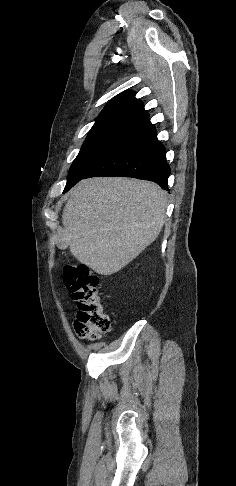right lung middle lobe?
Returning a JSON list of instances; mask_svg holds the SVG:
<instances>
[{
	"label": "right lung middle lobe",
	"mask_w": 236,
	"mask_h": 486,
	"mask_svg": "<svg viewBox=\"0 0 236 486\" xmlns=\"http://www.w3.org/2000/svg\"><path fill=\"white\" fill-rule=\"evenodd\" d=\"M139 130V125H119L91 130L71 165L63 193L130 141Z\"/></svg>",
	"instance_id": "dd1d6c3e"
}]
</instances>
